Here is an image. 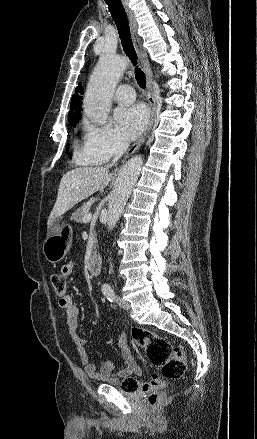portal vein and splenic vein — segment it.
<instances>
[{
    "mask_svg": "<svg viewBox=\"0 0 257 439\" xmlns=\"http://www.w3.org/2000/svg\"><path fill=\"white\" fill-rule=\"evenodd\" d=\"M92 219V215L89 213V214H87V215H85L84 217H83V222L84 223H87V222H89L90 220Z\"/></svg>",
    "mask_w": 257,
    "mask_h": 439,
    "instance_id": "portal-vein-and-splenic-vein-1",
    "label": "portal vein and splenic vein"
}]
</instances>
